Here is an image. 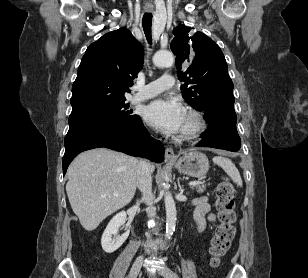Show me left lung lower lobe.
<instances>
[{
	"instance_id": "0a47b994",
	"label": "left lung lower lobe",
	"mask_w": 308,
	"mask_h": 278,
	"mask_svg": "<svg viewBox=\"0 0 308 278\" xmlns=\"http://www.w3.org/2000/svg\"><path fill=\"white\" fill-rule=\"evenodd\" d=\"M208 129L202 133L203 140L197 146L213 147L228 151H238L241 140L236 129L237 116L232 102H221L206 110Z\"/></svg>"
}]
</instances>
